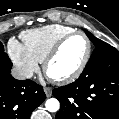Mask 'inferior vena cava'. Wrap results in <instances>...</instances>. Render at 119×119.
<instances>
[{
    "instance_id": "inferior-vena-cava-1",
    "label": "inferior vena cava",
    "mask_w": 119,
    "mask_h": 119,
    "mask_svg": "<svg viewBox=\"0 0 119 119\" xmlns=\"http://www.w3.org/2000/svg\"><path fill=\"white\" fill-rule=\"evenodd\" d=\"M11 74L15 79L18 80L29 79L33 76V72L31 70L18 68V67L12 68Z\"/></svg>"
}]
</instances>
